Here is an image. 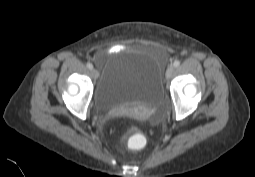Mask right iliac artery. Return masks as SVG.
<instances>
[{"instance_id": "right-iliac-artery-1", "label": "right iliac artery", "mask_w": 255, "mask_h": 177, "mask_svg": "<svg viewBox=\"0 0 255 177\" xmlns=\"http://www.w3.org/2000/svg\"><path fill=\"white\" fill-rule=\"evenodd\" d=\"M86 66H87L88 69H92L93 68L91 63H87Z\"/></svg>"}]
</instances>
